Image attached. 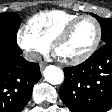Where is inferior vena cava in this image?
Returning <instances> with one entry per match:
<instances>
[{"label":"inferior vena cava","mask_w":112,"mask_h":112,"mask_svg":"<svg viewBox=\"0 0 112 112\" xmlns=\"http://www.w3.org/2000/svg\"><path fill=\"white\" fill-rule=\"evenodd\" d=\"M24 58L27 61L35 62V61H38L40 59V55L37 52H27V53H25Z\"/></svg>","instance_id":"1"}]
</instances>
